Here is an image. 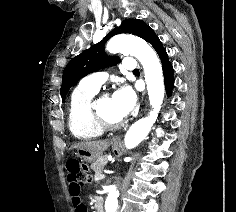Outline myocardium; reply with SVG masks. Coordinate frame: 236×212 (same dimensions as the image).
<instances>
[{
  "mask_svg": "<svg viewBox=\"0 0 236 212\" xmlns=\"http://www.w3.org/2000/svg\"><path fill=\"white\" fill-rule=\"evenodd\" d=\"M110 93L108 91H103L98 99L96 100L94 106L92 107L94 117L96 121L99 123V125L104 129V130H116L120 127H122L125 124L124 120H119V121H110L108 120L99 110L98 107V102L100 99L109 96Z\"/></svg>",
  "mask_w": 236,
  "mask_h": 212,
  "instance_id": "1",
  "label": "myocardium"
}]
</instances>
